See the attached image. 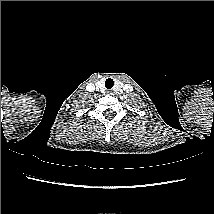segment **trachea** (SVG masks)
<instances>
[{
    "mask_svg": "<svg viewBox=\"0 0 214 214\" xmlns=\"http://www.w3.org/2000/svg\"><path fill=\"white\" fill-rule=\"evenodd\" d=\"M114 85V81L111 79V78H108L106 81H105V86L107 89H111Z\"/></svg>",
    "mask_w": 214,
    "mask_h": 214,
    "instance_id": "3493384b",
    "label": "trachea"
}]
</instances>
